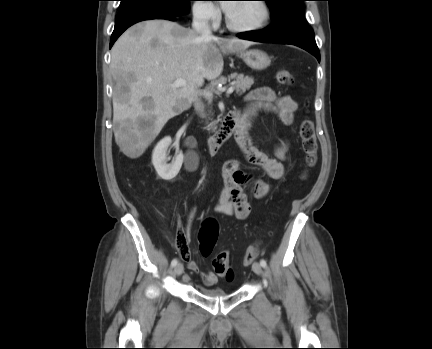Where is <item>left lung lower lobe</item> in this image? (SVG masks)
Wrapping results in <instances>:
<instances>
[{"label": "left lung lower lobe", "instance_id": "1", "mask_svg": "<svg viewBox=\"0 0 432 349\" xmlns=\"http://www.w3.org/2000/svg\"><path fill=\"white\" fill-rule=\"evenodd\" d=\"M239 38L264 43L291 44L298 46L312 55L320 62V53L317 47L313 30L304 24H273L260 31L243 32L237 34Z\"/></svg>", "mask_w": 432, "mask_h": 349}]
</instances>
